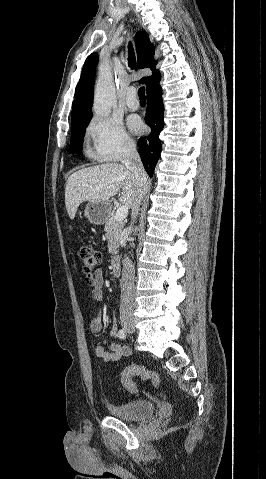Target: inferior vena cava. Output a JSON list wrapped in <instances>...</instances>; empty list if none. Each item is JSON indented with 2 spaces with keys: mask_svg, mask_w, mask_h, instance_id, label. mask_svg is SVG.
Returning <instances> with one entry per match:
<instances>
[{
  "mask_svg": "<svg viewBox=\"0 0 266 479\" xmlns=\"http://www.w3.org/2000/svg\"><path fill=\"white\" fill-rule=\"evenodd\" d=\"M121 161L123 165L132 173L140 192L138 197V202L135 205V207L132 209V213H131V217L134 221L138 215L139 205L146 191V187L148 184V177L143 168L140 156L136 150V145L134 143H127L124 146ZM131 231H132V227L127 228L126 234H130ZM134 278H135V267L132 261L128 257H125L123 260L122 277L120 281V286H121L120 319L122 321L126 319H131L133 316Z\"/></svg>",
  "mask_w": 266,
  "mask_h": 479,
  "instance_id": "1",
  "label": "inferior vena cava"
}]
</instances>
